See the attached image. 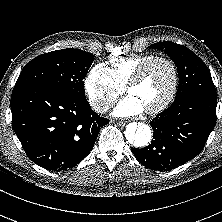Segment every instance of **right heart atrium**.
<instances>
[{
  "label": "right heart atrium",
  "mask_w": 222,
  "mask_h": 222,
  "mask_svg": "<svg viewBox=\"0 0 222 222\" xmlns=\"http://www.w3.org/2000/svg\"><path fill=\"white\" fill-rule=\"evenodd\" d=\"M84 86L90 105L99 113L106 112L125 91V86L117 81L112 70L102 63L90 69Z\"/></svg>",
  "instance_id": "right-heart-atrium-1"
}]
</instances>
